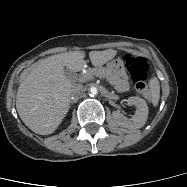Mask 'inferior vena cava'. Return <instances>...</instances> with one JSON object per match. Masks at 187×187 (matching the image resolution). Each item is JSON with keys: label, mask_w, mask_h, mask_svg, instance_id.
<instances>
[{"label": "inferior vena cava", "mask_w": 187, "mask_h": 187, "mask_svg": "<svg viewBox=\"0 0 187 187\" xmlns=\"http://www.w3.org/2000/svg\"><path fill=\"white\" fill-rule=\"evenodd\" d=\"M82 89L83 86L81 84H74L71 88V95L74 96L78 94L79 92H81Z\"/></svg>", "instance_id": "obj_1"}]
</instances>
